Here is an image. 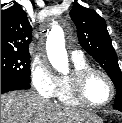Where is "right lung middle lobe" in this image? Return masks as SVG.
<instances>
[{
	"label": "right lung middle lobe",
	"mask_w": 122,
	"mask_h": 123,
	"mask_svg": "<svg viewBox=\"0 0 122 123\" xmlns=\"http://www.w3.org/2000/svg\"><path fill=\"white\" fill-rule=\"evenodd\" d=\"M1 76L30 83V54L1 52Z\"/></svg>",
	"instance_id": "right-lung-middle-lobe-1"
}]
</instances>
